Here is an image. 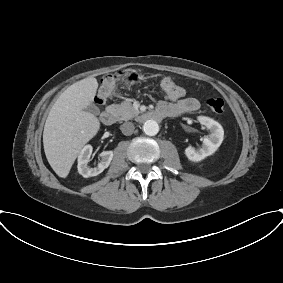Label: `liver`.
Listing matches in <instances>:
<instances>
[{
	"label": "liver",
	"mask_w": 283,
	"mask_h": 283,
	"mask_svg": "<svg viewBox=\"0 0 283 283\" xmlns=\"http://www.w3.org/2000/svg\"><path fill=\"white\" fill-rule=\"evenodd\" d=\"M98 88L94 77L69 86L56 100L46 119L43 145L46 158L61 178H66L83 146L99 131L98 118L85 111Z\"/></svg>",
	"instance_id": "obj_1"
}]
</instances>
